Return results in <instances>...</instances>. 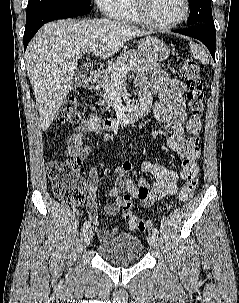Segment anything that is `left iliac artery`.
Returning a JSON list of instances; mask_svg holds the SVG:
<instances>
[{"label":"left iliac artery","instance_id":"left-iliac-artery-1","mask_svg":"<svg viewBox=\"0 0 239 303\" xmlns=\"http://www.w3.org/2000/svg\"><path fill=\"white\" fill-rule=\"evenodd\" d=\"M152 233H153L154 235L158 236L159 231H158L157 228H154V229L152 230Z\"/></svg>","mask_w":239,"mask_h":303}]
</instances>
